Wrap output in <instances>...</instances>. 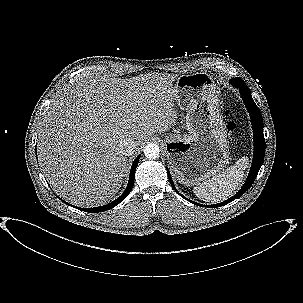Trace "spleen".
<instances>
[{
	"instance_id": "spleen-1",
	"label": "spleen",
	"mask_w": 303,
	"mask_h": 303,
	"mask_svg": "<svg viewBox=\"0 0 303 303\" xmlns=\"http://www.w3.org/2000/svg\"><path fill=\"white\" fill-rule=\"evenodd\" d=\"M249 166L248 157H241L235 165L213 176L193 188L195 195L209 203L226 200L238 188L244 177V170Z\"/></svg>"
}]
</instances>
